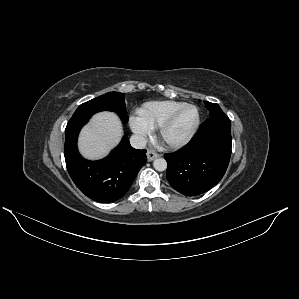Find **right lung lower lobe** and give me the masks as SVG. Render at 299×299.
Returning a JSON list of instances; mask_svg holds the SVG:
<instances>
[{
    "label": "right lung lower lobe",
    "instance_id": "obj_1",
    "mask_svg": "<svg viewBox=\"0 0 299 299\" xmlns=\"http://www.w3.org/2000/svg\"><path fill=\"white\" fill-rule=\"evenodd\" d=\"M90 117H72L66 126L64 156L67 170L86 196L101 203L113 202L125 195L146 163V150L134 149L124 136L106 158L99 161L82 158L77 149V137Z\"/></svg>",
    "mask_w": 299,
    "mask_h": 299
}]
</instances>
